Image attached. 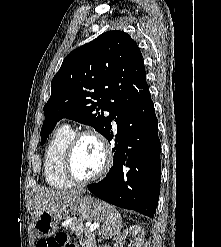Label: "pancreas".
Returning <instances> with one entry per match:
<instances>
[{"label": "pancreas", "mask_w": 221, "mask_h": 247, "mask_svg": "<svg viewBox=\"0 0 221 247\" xmlns=\"http://www.w3.org/2000/svg\"><path fill=\"white\" fill-rule=\"evenodd\" d=\"M70 230L75 232L82 247H96L95 235L88 232L82 224V220L73 219L69 224Z\"/></svg>", "instance_id": "pancreas-1"}]
</instances>
